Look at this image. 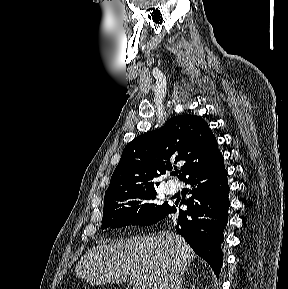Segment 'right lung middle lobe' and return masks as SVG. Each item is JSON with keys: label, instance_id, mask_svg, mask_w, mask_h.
Wrapping results in <instances>:
<instances>
[{"label": "right lung middle lobe", "instance_id": "dd1d6c3e", "mask_svg": "<svg viewBox=\"0 0 288 289\" xmlns=\"http://www.w3.org/2000/svg\"><path fill=\"white\" fill-rule=\"evenodd\" d=\"M154 187L105 194L102 229L127 225H152L171 207L158 204Z\"/></svg>", "mask_w": 288, "mask_h": 289}]
</instances>
